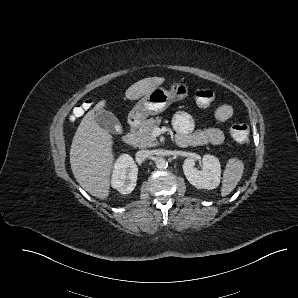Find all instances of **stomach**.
Returning a JSON list of instances; mask_svg holds the SVG:
<instances>
[{
    "mask_svg": "<svg viewBox=\"0 0 298 298\" xmlns=\"http://www.w3.org/2000/svg\"><path fill=\"white\" fill-rule=\"evenodd\" d=\"M186 95L187 87L184 84H174L170 91L161 86L154 87L137 101L130 116L135 120L144 121L149 116L162 113L172 101L183 99Z\"/></svg>",
    "mask_w": 298,
    "mask_h": 298,
    "instance_id": "obj_1",
    "label": "stomach"
}]
</instances>
